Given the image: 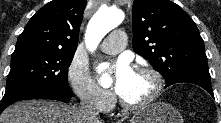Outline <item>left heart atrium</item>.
Instances as JSON below:
<instances>
[{
  "label": "left heart atrium",
  "mask_w": 221,
  "mask_h": 123,
  "mask_svg": "<svg viewBox=\"0 0 221 123\" xmlns=\"http://www.w3.org/2000/svg\"><path fill=\"white\" fill-rule=\"evenodd\" d=\"M107 68V65H102L99 68V71H103ZM115 91L119 93L124 85V83L127 81V79L133 74L134 70L130 66L129 62L127 60H119L115 65Z\"/></svg>",
  "instance_id": "39dd6f15"
}]
</instances>
